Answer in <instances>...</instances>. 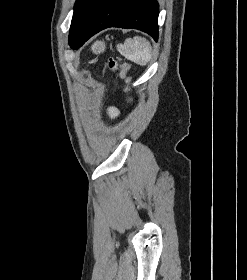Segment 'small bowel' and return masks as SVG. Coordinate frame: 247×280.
Listing matches in <instances>:
<instances>
[{"label":"small bowel","instance_id":"c3829d8e","mask_svg":"<svg viewBox=\"0 0 247 280\" xmlns=\"http://www.w3.org/2000/svg\"><path fill=\"white\" fill-rule=\"evenodd\" d=\"M110 114H111L112 116H117L118 112H117L116 109L112 108V109L110 110Z\"/></svg>","mask_w":247,"mask_h":280}]
</instances>
